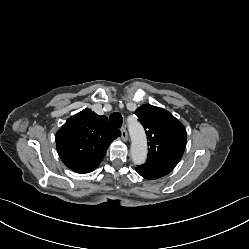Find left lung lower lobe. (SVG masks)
Instances as JSON below:
<instances>
[{
    "instance_id": "1",
    "label": "left lung lower lobe",
    "mask_w": 249,
    "mask_h": 249,
    "mask_svg": "<svg viewBox=\"0 0 249 249\" xmlns=\"http://www.w3.org/2000/svg\"><path fill=\"white\" fill-rule=\"evenodd\" d=\"M136 171L142 176V177H144V178H146V179H157V177H154V176H152V175H149V174H146V173H144V172H142L138 167L136 168Z\"/></svg>"
}]
</instances>
